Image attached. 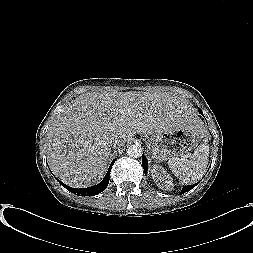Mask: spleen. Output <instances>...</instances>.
<instances>
[{"mask_svg":"<svg viewBox=\"0 0 253 253\" xmlns=\"http://www.w3.org/2000/svg\"><path fill=\"white\" fill-rule=\"evenodd\" d=\"M205 136L207 130L202 132ZM209 157V146L207 139L194 151L190 159L185 156L175 157L168 160L172 173L185 183H192L202 178L206 172Z\"/></svg>","mask_w":253,"mask_h":253,"instance_id":"3e777b00","label":"spleen"}]
</instances>
